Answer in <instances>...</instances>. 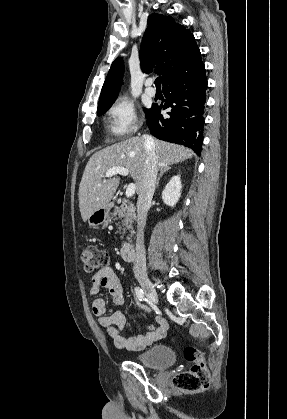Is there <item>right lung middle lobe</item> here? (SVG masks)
<instances>
[{
  "instance_id": "1",
  "label": "right lung middle lobe",
  "mask_w": 287,
  "mask_h": 419,
  "mask_svg": "<svg viewBox=\"0 0 287 419\" xmlns=\"http://www.w3.org/2000/svg\"><path fill=\"white\" fill-rule=\"evenodd\" d=\"M111 105L112 104H109V105L103 106L101 108H98L97 115L101 116L102 114H104L110 108ZM149 111H150V109H145L146 116L148 115Z\"/></svg>"
}]
</instances>
